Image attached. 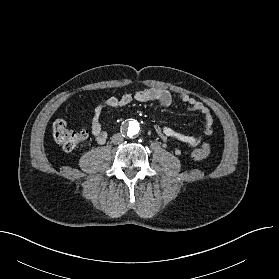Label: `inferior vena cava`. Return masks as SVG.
Returning <instances> with one entry per match:
<instances>
[{
    "instance_id": "obj_1",
    "label": "inferior vena cava",
    "mask_w": 279,
    "mask_h": 279,
    "mask_svg": "<svg viewBox=\"0 0 279 279\" xmlns=\"http://www.w3.org/2000/svg\"><path fill=\"white\" fill-rule=\"evenodd\" d=\"M111 141L113 144H121L124 141V136L120 133H117L112 136Z\"/></svg>"
}]
</instances>
